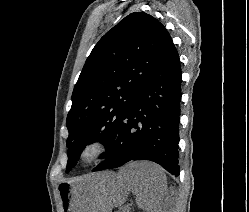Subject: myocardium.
<instances>
[{
  "label": "myocardium",
  "mask_w": 249,
  "mask_h": 212,
  "mask_svg": "<svg viewBox=\"0 0 249 212\" xmlns=\"http://www.w3.org/2000/svg\"><path fill=\"white\" fill-rule=\"evenodd\" d=\"M112 142L105 136H94L84 141L77 151V160L82 165H95L112 151Z\"/></svg>",
  "instance_id": "f54148a6"
}]
</instances>
